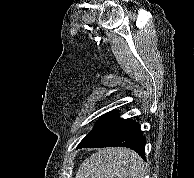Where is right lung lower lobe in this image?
I'll return each instance as SVG.
<instances>
[{
	"instance_id": "98d812e1",
	"label": "right lung lower lobe",
	"mask_w": 194,
	"mask_h": 178,
	"mask_svg": "<svg viewBox=\"0 0 194 178\" xmlns=\"http://www.w3.org/2000/svg\"><path fill=\"white\" fill-rule=\"evenodd\" d=\"M145 142L140 125L132 119L120 118L115 112L97 125L78 148L123 146L133 149L145 159Z\"/></svg>"
}]
</instances>
